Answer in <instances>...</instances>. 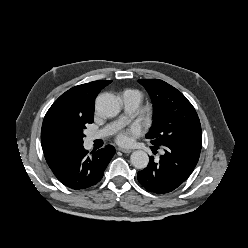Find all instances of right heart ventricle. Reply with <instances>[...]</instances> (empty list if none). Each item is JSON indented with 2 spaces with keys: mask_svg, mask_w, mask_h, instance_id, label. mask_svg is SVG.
<instances>
[{
  "mask_svg": "<svg viewBox=\"0 0 248 248\" xmlns=\"http://www.w3.org/2000/svg\"><path fill=\"white\" fill-rule=\"evenodd\" d=\"M131 91H133L134 93L138 94V95L141 97L140 92H138V91H136V90H131Z\"/></svg>",
  "mask_w": 248,
  "mask_h": 248,
  "instance_id": "1",
  "label": "right heart ventricle"
}]
</instances>
